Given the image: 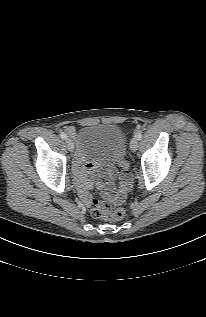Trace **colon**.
I'll return each instance as SVG.
<instances>
[{"label": "colon", "mask_w": 206, "mask_h": 317, "mask_svg": "<svg viewBox=\"0 0 206 317\" xmlns=\"http://www.w3.org/2000/svg\"><path fill=\"white\" fill-rule=\"evenodd\" d=\"M125 170H127L126 167ZM88 208L94 217L110 221L120 220L125 215V210L123 208H116L113 202L109 200L92 199Z\"/></svg>", "instance_id": "obj_1"}]
</instances>
